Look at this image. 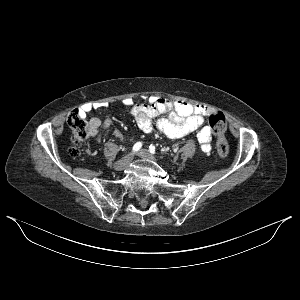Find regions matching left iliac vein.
Instances as JSON below:
<instances>
[{"mask_svg":"<svg viewBox=\"0 0 300 300\" xmlns=\"http://www.w3.org/2000/svg\"><path fill=\"white\" fill-rule=\"evenodd\" d=\"M138 156L143 159H147V160H151V161H155V162L157 161L154 156L149 154L148 151L144 150V149L138 152Z\"/></svg>","mask_w":300,"mask_h":300,"instance_id":"4c4485c4","label":"left iliac vein"}]
</instances>
